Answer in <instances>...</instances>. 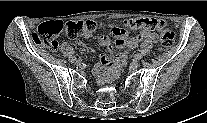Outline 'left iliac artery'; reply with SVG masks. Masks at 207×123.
I'll use <instances>...</instances> for the list:
<instances>
[{
    "label": "left iliac artery",
    "instance_id": "obj_1",
    "mask_svg": "<svg viewBox=\"0 0 207 123\" xmlns=\"http://www.w3.org/2000/svg\"><path fill=\"white\" fill-rule=\"evenodd\" d=\"M142 58V55L140 54V53H137L136 55H135V59L136 60H140Z\"/></svg>",
    "mask_w": 207,
    "mask_h": 123
}]
</instances>
